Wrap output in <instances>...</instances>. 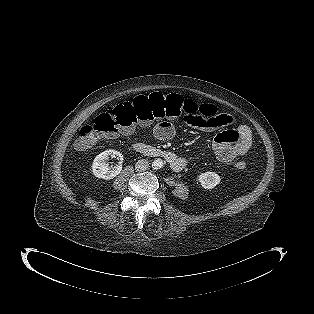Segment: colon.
I'll use <instances>...</instances> for the list:
<instances>
[{
	"label": "colon",
	"instance_id": "5ec220e1",
	"mask_svg": "<svg viewBox=\"0 0 314 314\" xmlns=\"http://www.w3.org/2000/svg\"><path fill=\"white\" fill-rule=\"evenodd\" d=\"M203 108L207 117L215 113V108L208 104L184 98L177 94L163 95L152 93L140 95L116 106L111 112H103L92 123L84 125L79 132L75 147L84 151L97 145L105 137H115L121 132H129L138 125H146L163 118H178L185 112ZM233 166L243 170L248 167L244 159H234Z\"/></svg>",
	"mask_w": 314,
	"mask_h": 314
}]
</instances>
